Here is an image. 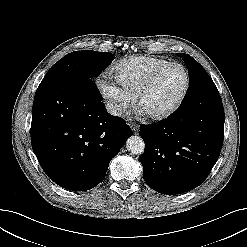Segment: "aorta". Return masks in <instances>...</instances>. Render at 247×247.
<instances>
[{
    "mask_svg": "<svg viewBox=\"0 0 247 247\" xmlns=\"http://www.w3.org/2000/svg\"><path fill=\"white\" fill-rule=\"evenodd\" d=\"M126 148L132 154H142L145 149L144 140L140 136H131L126 142Z\"/></svg>",
    "mask_w": 247,
    "mask_h": 247,
    "instance_id": "obj_1",
    "label": "aorta"
}]
</instances>
